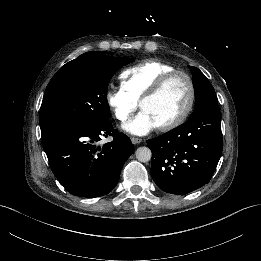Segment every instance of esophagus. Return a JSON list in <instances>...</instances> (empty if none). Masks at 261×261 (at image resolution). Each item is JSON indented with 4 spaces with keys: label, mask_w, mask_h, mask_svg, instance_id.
Returning <instances> with one entry per match:
<instances>
[{
    "label": "esophagus",
    "mask_w": 261,
    "mask_h": 261,
    "mask_svg": "<svg viewBox=\"0 0 261 261\" xmlns=\"http://www.w3.org/2000/svg\"><path fill=\"white\" fill-rule=\"evenodd\" d=\"M131 142L133 144H138V143H141L142 142V139L141 138H137V137H132L131 138Z\"/></svg>",
    "instance_id": "obj_1"
}]
</instances>
